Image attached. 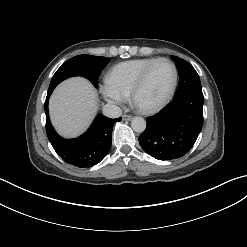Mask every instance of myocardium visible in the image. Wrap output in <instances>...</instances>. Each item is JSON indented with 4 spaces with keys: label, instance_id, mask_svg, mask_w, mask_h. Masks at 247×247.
<instances>
[{
    "label": "myocardium",
    "instance_id": "obj_1",
    "mask_svg": "<svg viewBox=\"0 0 247 247\" xmlns=\"http://www.w3.org/2000/svg\"><path fill=\"white\" fill-rule=\"evenodd\" d=\"M161 61L168 62L173 68L172 85H171L167 95L165 96V98L161 102H159L158 104L151 106V107H142L137 103V94L140 91V89L142 88L150 70L153 68V66L155 64H157L158 62H161ZM177 83H178V69H177L176 64L171 59L166 58V57L156 58L153 62H151L149 65H147L143 69V71L140 73L137 80L135 81V83H134V85L130 91L131 102L134 105V107L137 108L142 113H145V114L156 113V112L162 110L169 103V101L171 100V98L174 95V92H175L176 87H177Z\"/></svg>",
    "mask_w": 247,
    "mask_h": 247
}]
</instances>
